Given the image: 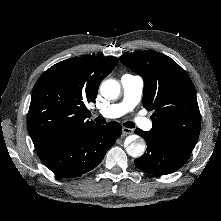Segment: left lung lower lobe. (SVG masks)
<instances>
[{
  "instance_id": "0a47b994",
  "label": "left lung lower lobe",
  "mask_w": 221,
  "mask_h": 221,
  "mask_svg": "<svg viewBox=\"0 0 221 221\" xmlns=\"http://www.w3.org/2000/svg\"><path fill=\"white\" fill-rule=\"evenodd\" d=\"M135 133L145 139L144 155L134 161L135 165L148 173L166 175L177 171L188 160L192 150L154 138L141 129Z\"/></svg>"
}]
</instances>
